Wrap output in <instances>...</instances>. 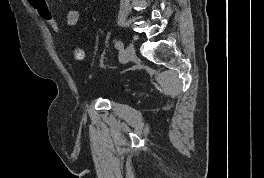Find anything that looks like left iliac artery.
<instances>
[{
  "mask_svg": "<svg viewBox=\"0 0 264 178\" xmlns=\"http://www.w3.org/2000/svg\"><path fill=\"white\" fill-rule=\"evenodd\" d=\"M115 47H116V49H122L123 48V42L122 41H117L116 43H115Z\"/></svg>",
  "mask_w": 264,
  "mask_h": 178,
  "instance_id": "left-iliac-artery-1",
  "label": "left iliac artery"
}]
</instances>
